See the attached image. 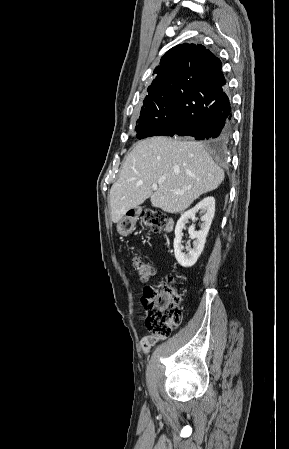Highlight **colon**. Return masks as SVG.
I'll list each match as a JSON object with an SVG mask.
<instances>
[{
  "instance_id": "1",
  "label": "colon",
  "mask_w": 289,
  "mask_h": 449,
  "mask_svg": "<svg viewBox=\"0 0 289 449\" xmlns=\"http://www.w3.org/2000/svg\"><path fill=\"white\" fill-rule=\"evenodd\" d=\"M164 214L154 210H146L141 214V222L154 231H159L165 224ZM131 222L125 221V226ZM134 269L138 276L147 280L155 273L153 263L134 256L132 259ZM168 282H173L169 277ZM181 299L170 284L159 288L147 286L144 288L141 303L144 309L145 325L157 337L166 338L171 331L179 326L182 320Z\"/></svg>"
}]
</instances>
